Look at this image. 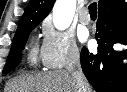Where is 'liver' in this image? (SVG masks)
I'll return each instance as SVG.
<instances>
[{
    "instance_id": "obj_1",
    "label": "liver",
    "mask_w": 127,
    "mask_h": 92,
    "mask_svg": "<svg viewBox=\"0 0 127 92\" xmlns=\"http://www.w3.org/2000/svg\"><path fill=\"white\" fill-rule=\"evenodd\" d=\"M4 92H77V87L68 71L54 70L15 77L7 83ZM87 92H92V89L88 87Z\"/></svg>"
}]
</instances>
